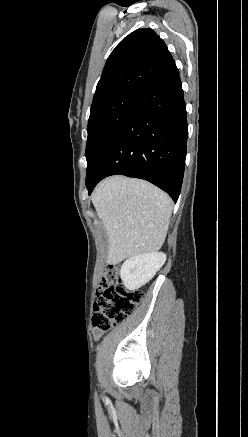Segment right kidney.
<instances>
[{"label": "right kidney", "instance_id": "obj_1", "mask_svg": "<svg viewBox=\"0 0 248 437\" xmlns=\"http://www.w3.org/2000/svg\"><path fill=\"white\" fill-rule=\"evenodd\" d=\"M166 254L154 252L127 259L120 269V277L129 290H136L148 283L163 266Z\"/></svg>", "mask_w": 248, "mask_h": 437}]
</instances>
